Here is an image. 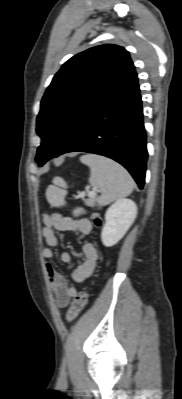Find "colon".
<instances>
[{"label":"colon","mask_w":182,"mask_h":399,"mask_svg":"<svg viewBox=\"0 0 182 399\" xmlns=\"http://www.w3.org/2000/svg\"><path fill=\"white\" fill-rule=\"evenodd\" d=\"M91 218L93 219L94 223L97 226H100L102 224L101 218L98 217L96 214H92ZM87 300H88L87 290H82L76 295V297L74 298L72 304L70 305V307L67 311V314H66L67 321H73L74 319H76L79 316L81 311L86 306Z\"/></svg>","instance_id":"colon-1"}]
</instances>
